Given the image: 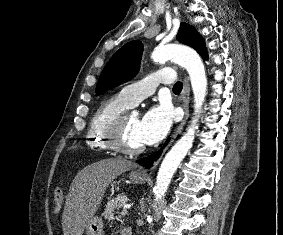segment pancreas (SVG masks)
I'll use <instances>...</instances> for the list:
<instances>
[{"label": "pancreas", "instance_id": "pancreas-1", "mask_svg": "<svg viewBox=\"0 0 283 235\" xmlns=\"http://www.w3.org/2000/svg\"><path fill=\"white\" fill-rule=\"evenodd\" d=\"M128 200L129 199L125 194H119L118 196L110 199L103 212L105 220L110 221L114 216L115 210H119L126 202H128Z\"/></svg>", "mask_w": 283, "mask_h": 235}]
</instances>
